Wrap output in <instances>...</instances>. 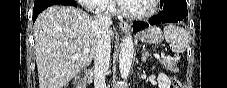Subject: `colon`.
<instances>
[{"instance_id": "colon-1", "label": "colon", "mask_w": 227, "mask_h": 88, "mask_svg": "<svg viewBox=\"0 0 227 88\" xmlns=\"http://www.w3.org/2000/svg\"><path fill=\"white\" fill-rule=\"evenodd\" d=\"M173 87L174 88H181L182 86L179 82L176 81V82H174Z\"/></svg>"}]
</instances>
